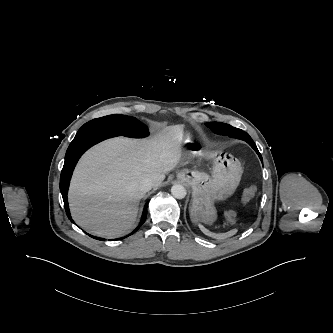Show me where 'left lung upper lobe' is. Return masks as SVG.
Returning <instances> with one entry per match:
<instances>
[{
	"label": "left lung upper lobe",
	"instance_id": "left-lung-upper-lobe-1",
	"mask_svg": "<svg viewBox=\"0 0 333 333\" xmlns=\"http://www.w3.org/2000/svg\"><path fill=\"white\" fill-rule=\"evenodd\" d=\"M206 126L209 127L214 133L218 135H228L230 137L242 139L245 141L246 139H251V137L246 132L242 131L241 129L232 127L229 124L219 123V122H209L206 123ZM260 159L262 161L261 156Z\"/></svg>",
	"mask_w": 333,
	"mask_h": 333
}]
</instances>
